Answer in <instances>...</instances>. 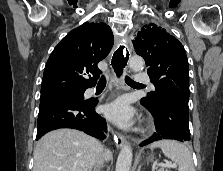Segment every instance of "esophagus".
Here are the masks:
<instances>
[{"label":"esophagus","mask_w":223,"mask_h":171,"mask_svg":"<svg viewBox=\"0 0 223 171\" xmlns=\"http://www.w3.org/2000/svg\"><path fill=\"white\" fill-rule=\"evenodd\" d=\"M119 48L113 51V60L111 61L112 72L118 88L122 87V79L128 69V60L131 53L130 45L127 39L119 42ZM114 140L118 147H122L126 141L124 135L114 134Z\"/></svg>","instance_id":"1"}]
</instances>
